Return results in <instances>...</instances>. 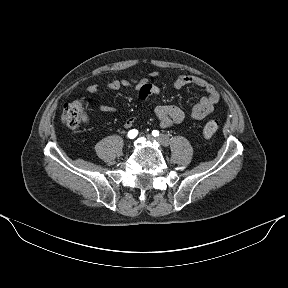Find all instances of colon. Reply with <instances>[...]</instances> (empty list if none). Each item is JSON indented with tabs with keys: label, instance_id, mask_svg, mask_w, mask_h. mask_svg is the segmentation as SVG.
Listing matches in <instances>:
<instances>
[{
	"label": "colon",
	"instance_id": "1",
	"mask_svg": "<svg viewBox=\"0 0 288 288\" xmlns=\"http://www.w3.org/2000/svg\"><path fill=\"white\" fill-rule=\"evenodd\" d=\"M89 105V99L75 100L65 104L61 116L63 124L70 129L78 127L82 122L87 120V108ZM218 127V121H208L203 127V135L207 138L213 136Z\"/></svg>",
	"mask_w": 288,
	"mask_h": 288
}]
</instances>
